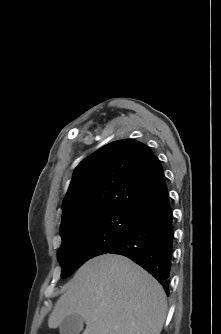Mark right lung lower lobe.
Masks as SVG:
<instances>
[{"label":"right lung lower lobe","mask_w":221,"mask_h":334,"mask_svg":"<svg viewBox=\"0 0 221 334\" xmlns=\"http://www.w3.org/2000/svg\"><path fill=\"white\" fill-rule=\"evenodd\" d=\"M173 235V215L165 187L135 214L121 240L106 253L124 255L136 262L162 284L168 295Z\"/></svg>","instance_id":"98d812e1"}]
</instances>
